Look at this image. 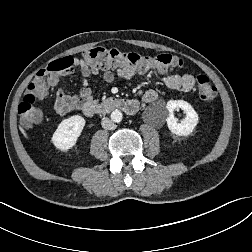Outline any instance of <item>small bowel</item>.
<instances>
[{
	"mask_svg": "<svg viewBox=\"0 0 252 252\" xmlns=\"http://www.w3.org/2000/svg\"><path fill=\"white\" fill-rule=\"evenodd\" d=\"M78 71L82 77V87L78 94L69 95L62 88L57 89L55 95L54 109L57 113L65 115L72 110L81 109L87 103L95 102L96 98L92 88L89 86V79L92 76L99 74V68L87 63L84 59L74 58L73 65L63 74H72ZM136 74V71H127L118 69L117 76L122 79H131ZM103 79L107 83H113L116 79L115 74L110 69H104ZM164 84L171 90L182 89L191 91L195 86V79L191 74L185 73L182 75L174 73H166L163 77ZM158 98V93L149 89L143 94V101L152 103Z\"/></svg>",
	"mask_w": 252,
	"mask_h": 252,
	"instance_id": "c3829d8e",
	"label": "small bowel"
}]
</instances>
